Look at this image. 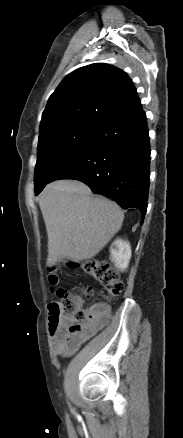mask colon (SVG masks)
I'll return each mask as SVG.
<instances>
[{"mask_svg": "<svg viewBox=\"0 0 183 438\" xmlns=\"http://www.w3.org/2000/svg\"><path fill=\"white\" fill-rule=\"evenodd\" d=\"M73 267L80 266L86 273L90 274L103 287L102 295L106 299L118 296L123 289V284L119 280L116 271L107 263L95 259H88L80 264H72ZM58 276L50 271L47 282L51 286L58 284ZM59 300L49 303V325L50 330L54 331L62 321H68V328L71 333H78L82 330V322L86 314L82 308L83 298L93 296L91 287H86L79 292H70L66 289L57 291Z\"/></svg>", "mask_w": 183, "mask_h": 438, "instance_id": "5ec220e1", "label": "colon"}]
</instances>
